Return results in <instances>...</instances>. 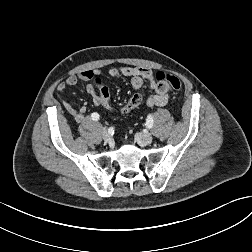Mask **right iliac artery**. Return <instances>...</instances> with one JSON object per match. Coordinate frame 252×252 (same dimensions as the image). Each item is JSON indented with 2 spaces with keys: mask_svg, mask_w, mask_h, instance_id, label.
<instances>
[{
  "mask_svg": "<svg viewBox=\"0 0 252 252\" xmlns=\"http://www.w3.org/2000/svg\"><path fill=\"white\" fill-rule=\"evenodd\" d=\"M91 117H92V120H94V121L99 120V114L98 113H92Z\"/></svg>",
  "mask_w": 252,
  "mask_h": 252,
  "instance_id": "obj_1",
  "label": "right iliac artery"
}]
</instances>
